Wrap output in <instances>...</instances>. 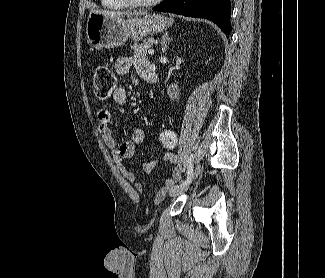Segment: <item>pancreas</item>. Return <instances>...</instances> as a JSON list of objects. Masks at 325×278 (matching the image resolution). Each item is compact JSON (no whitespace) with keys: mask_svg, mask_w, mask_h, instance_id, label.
I'll return each mask as SVG.
<instances>
[{"mask_svg":"<svg viewBox=\"0 0 325 278\" xmlns=\"http://www.w3.org/2000/svg\"><path fill=\"white\" fill-rule=\"evenodd\" d=\"M153 45V38H146L141 43H134L131 48L134 50V55L145 58L148 55V49Z\"/></svg>","mask_w":325,"mask_h":278,"instance_id":"1","label":"pancreas"}]
</instances>
